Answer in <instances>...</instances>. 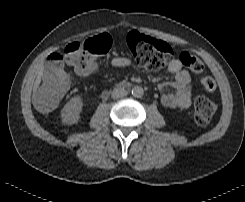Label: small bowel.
Segmentation results:
<instances>
[{
    "label": "small bowel",
    "instance_id": "obj_1",
    "mask_svg": "<svg viewBox=\"0 0 245 202\" xmlns=\"http://www.w3.org/2000/svg\"><path fill=\"white\" fill-rule=\"evenodd\" d=\"M111 65L113 67H129L131 60L123 56H115L111 59ZM96 65H91L88 69L82 72V75H90L96 71ZM168 71L174 75V79L171 81H164L162 87L174 88V92L165 93L162 96V104L166 108H187L191 104L192 97V79L190 73L184 69L180 59L176 58L172 60L168 65ZM38 98V110L42 114H49L50 110L46 109V105L41 100L40 92L37 93Z\"/></svg>",
    "mask_w": 245,
    "mask_h": 202
}]
</instances>
